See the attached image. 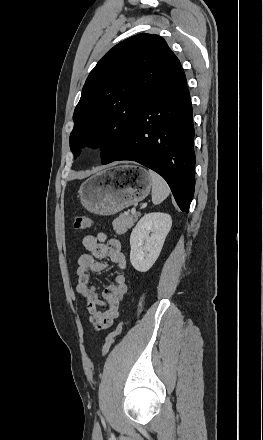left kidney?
Returning <instances> with one entry per match:
<instances>
[{"mask_svg": "<svg viewBox=\"0 0 263 440\" xmlns=\"http://www.w3.org/2000/svg\"><path fill=\"white\" fill-rule=\"evenodd\" d=\"M172 226L169 214H145L130 236V262L139 272L148 271L157 260Z\"/></svg>", "mask_w": 263, "mask_h": 440, "instance_id": "1", "label": "left kidney"}]
</instances>
